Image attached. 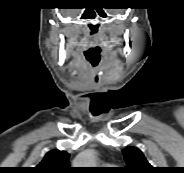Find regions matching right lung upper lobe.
I'll return each mask as SVG.
<instances>
[{
	"mask_svg": "<svg viewBox=\"0 0 184 173\" xmlns=\"http://www.w3.org/2000/svg\"><path fill=\"white\" fill-rule=\"evenodd\" d=\"M69 154L66 151L51 150L40 162L38 166L33 169L34 173H71L72 169L69 167Z\"/></svg>",
	"mask_w": 184,
	"mask_h": 173,
	"instance_id": "1",
	"label": "right lung upper lobe"
}]
</instances>
